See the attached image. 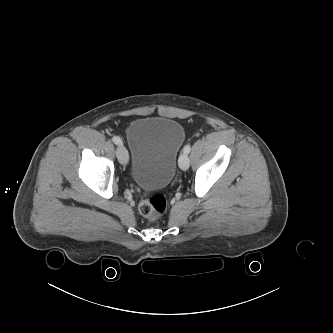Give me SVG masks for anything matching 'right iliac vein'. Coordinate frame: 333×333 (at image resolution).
<instances>
[{
	"instance_id": "obj_1",
	"label": "right iliac vein",
	"mask_w": 333,
	"mask_h": 333,
	"mask_svg": "<svg viewBox=\"0 0 333 333\" xmlns=\"http://www.w3.org/2000/svg\"><path fill=\"white\" fill-rule=\"evenodd\" d=\"M116 155L119 162L122 165H126L128 163V152L127 149L123 145H119L116 150Z\"/></svg>"
}]
</instances>
